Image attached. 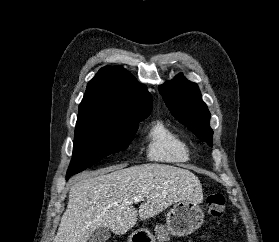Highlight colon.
<instances>
[{
    "instance_id": "colon-1",
    "label": "colon",
    "mask_w": 279,
    "mask_h": 242,
    "mask_svg": "<svg viewBox=\"0 0 279 242\" xmlns=\"http://www.w3.org/2000/svg\"><path fill=\"white\" fill-rule=\"evenodd\" d=\"M205 208L208 215L218 220L222 218L225 210V197L222 193H214L207 197Z\"/></svg>"
}]
</instances>
